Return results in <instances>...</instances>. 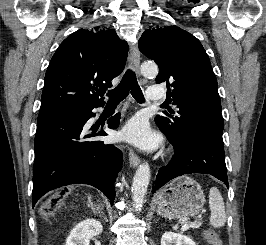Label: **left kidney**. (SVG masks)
<instances>
[{"label": "left kidney", "mask_w": 266, "mask_h": 245, "mask_svg": "<svg viewBox=\"0 0 266 245\" xmlns=\"http://www.w3.org/2000/svg\"><path fill=\"white\" fill-rule=\"evenodd\" d=\"M161 245H196L188 235H179V233H164L161 239Z\"/></svg>", "instance_id": "left-kidney-1"}]
</instances>
